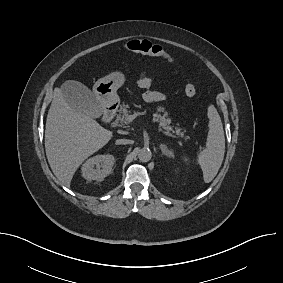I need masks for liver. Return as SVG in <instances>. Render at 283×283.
<instances>
[{
    "mask_svg": "<svg viewBox=\"0 0 283 283\" xmlns=\"http://www.w3.org/2000/svg\"><path fill=\"white\" fill-rule=\"evenodd\" d=\"M112 136L92 117L73 110L61 89H55L46 120L45 149L49 165L63 185L69 187L77 168Z\"/></svg>",
    "mask_w": 283,
    "mask_h": 283,
    "instance_id": "1",
    "label": "liver"
}]
</instances>
